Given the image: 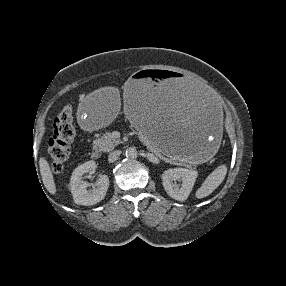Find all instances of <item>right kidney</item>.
I'll list each match as a JSON object with an SVG mask.
<instances>
[{
  "label": "right kidney",
  "mask_w": 286,
  "mask_h": 286,
  "mask_svg": "<svg viewBox=\"0 0 286 286\" xmlns=\"http://www.w3.org/2000/svg\"><path fill=\"white\" fill-rule=\"evenodd\" d=\"M97 165L91 160L75 168L70 179V190L73 200L78 205H94L104 199L109 187V178L102 175L95 183V187L87 190L89 184L82 180V176L90 171H94Z\"/></svg>",
  "instance_id": "ca27d5eb"
}]
</instances>
